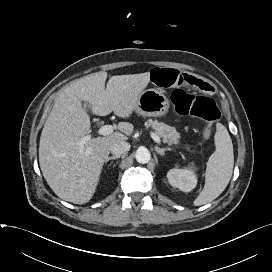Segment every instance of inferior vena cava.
Returning a JSON list of instances; mask_svg holds the SVG:
<instances>
[{
  "mask_svg": "<svg viewBox=\"0 0 272 272\" xmlns=\"http://www.w3.org/2000/svg\"><path fill=\"white\" fill-rule=\"evenodd\" d=\"M129 150H130V144L125 141L116 142L110 146L111 153L116 156H120L122 154H125Z\"/></svg>",
  "mask_w": 272,
  "mask_h": 272,
  "instance_id": "602c4592",
  "label": "inferior vena cava"
}]
</instances>
